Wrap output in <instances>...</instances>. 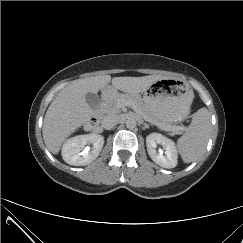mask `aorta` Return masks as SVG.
Wrapping results in <instances>:
<instances>
[{
    "mask_svg": "<svg viewBox=\"0 0 243 243\" xmlns=\"http://www.w3.org/2000/svg\"><path fill=\"white\" fill-rule=\"evenodd\" d=\"M125 124L128 129H134L137 125V121L135 118L129 117L126 119Z\"/></svg>",
    "mask_w": 243,
    "mask_h": 243,
    "instance_id": "762f6f07",
    "label": "aorta"
}]
</instances>
